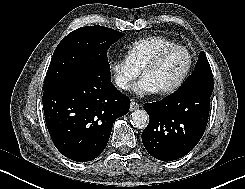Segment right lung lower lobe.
Instances as JSON below:
<instances>
[{
    "mask_svg": "<svg viewBox=\"0 0 245 189\" xmlns=\"http://www.w3.org/2000/svg\"><path fill=\"white\" fill-rule=\"evenodd\" d=\"M130 100L111 83L110 70L97 68L43 92L46 125L65 157L87 162L105 149L113 123L128 113Z\"/></svg>",
    "mask_w": 245,
    "mask_h": 189,
    "instance_id": "1",
    "label": "right lung lower lobe"
}]
</instances>
